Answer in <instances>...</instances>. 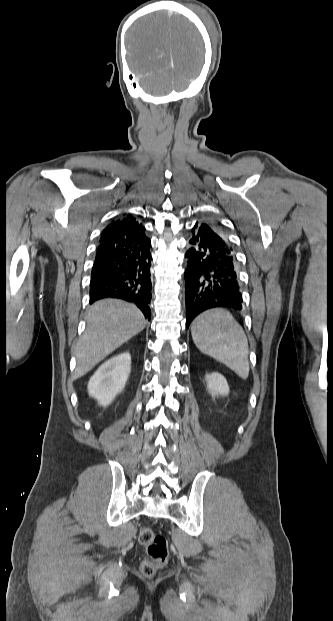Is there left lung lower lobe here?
<instances>
[{
  "mask_svg": "<svg viewBox=\"0 0 333 621\" xmlns=\"http://www.w3.org/2000/svg\"><path fill=\"white\" fill-rule=\"evenodd\" d=\"M189 244L185 273L187 328L207 309L242 308L234 250L206 225H194Z\"/></svg>",
  "mask_w": 333,
  "mask_h": 621,
  "instance_id": "obj_1",
  "label": "left lung lower lobe"
}]
</instances>
